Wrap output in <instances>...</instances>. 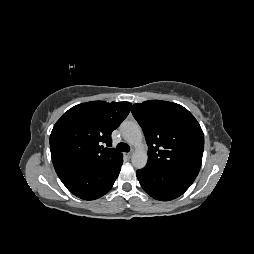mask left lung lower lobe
Returning a JSON list of instances; mask_svg holds the SVG:
<instances>
[{"mask_svg": "<svg viewBox=\"0 0 254 254\" xmlns=\"http://www.w3.org/2000/svg\"><path fill=\"white\" fill-rule=\"evenodd\" d=\"M136 174L144 191L154 199L161 201L179 197L196 178V176L186 173L163 170L151 164H147Z\"/></svg>", "mask_w": 254, "mask_h": 254, "instance_id": "0a47b994", "label": "left lung lower lobe"}]
</instances>
